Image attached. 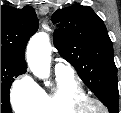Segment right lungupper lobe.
I'll return each mask as SVG.
<instances>
[{"instance_id": "obj_1", "label": "right lung upper lobe", "mask_w": 121, "mask_h": 113, "mask_svg": "<svg viewBox=\"0 0 121 113\" xmlns=\"http://www.w3.org/2000/svg\"><path fill=\"white\" fill-rule=\"evenodd\" d=\"M37 29L38 19L31 6L22 9L1 6V57L27 68L24 49Z\"/></svg>"}]
</instances>
